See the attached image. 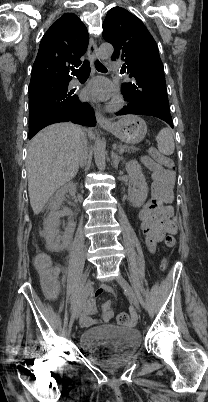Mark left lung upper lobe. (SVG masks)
I'll list each match as a JSON object with an SVG mask.
<instances>
[{"label": "left lung upper lobe", "instance_id": "obj_1", "mask_svg": "<svg viewBox=\"0 0 208 402\" xmlns=\"http://www.w3.org/2000/svg\"><path fill=\"white\" fill-rule=\"evenodd\" d=\"M103 38L114 46L113 61L122 60V84L126 101L169 111L164 67L155 40L143 22L124 8L110 9L103 23Z\"/></svg>", "mask_w": 208, "mask_h": 402}]
</instances>
